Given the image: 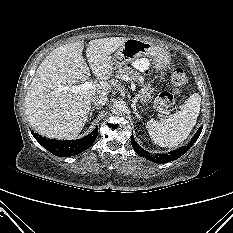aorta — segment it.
Instances as JSON below:
<instances>
[{"mask_svg":"<svg viewBox=\"0 0 233 233\" xmlns=\"http://www.w3.org/2000/svg\"><path fill=\"white\" fill-rule=\"evenodd\" d=\"M111 112L115 115H123L127 112V105L124 101H115L111 107Z\"/></svg>","mask_w":233,"mask_h":233,"instance_id":"762f6f07","label":"aorta"}]
</instances>
